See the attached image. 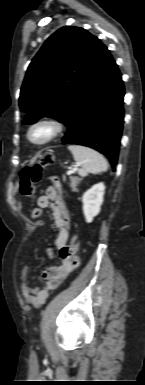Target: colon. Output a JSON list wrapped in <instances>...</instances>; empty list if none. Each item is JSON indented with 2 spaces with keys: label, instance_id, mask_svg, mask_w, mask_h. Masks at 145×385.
<instances>
[{
  "label": "colon",
  "instance_id": "1",
  "mask_svg": "<svg viewBox=\"0 0 145 385\" xmlns=\"http://www.w3.org/2000/svg\"><path fill=\"white\" fill-rule=\"evenodd\" d=\"M54 162V156L50 153L44 154L40 160L25 167L20 174V192L25 196H32L35 192L36 186L42 181L44 167ZM41 210L35 208L32 211V216L35 219L41 217ZM78 239L73 237L69 244L64 245L60 249V256L63 260H68L75 268L78 265V260L75 256L78 249Z\"/></svg>",
  "mask_w": 145,
  "mask_h": 385
}]
</instances>
